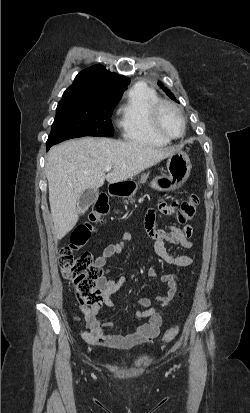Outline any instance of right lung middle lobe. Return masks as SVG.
I'll return each mask as SVG.
<instances>
[{
  "label": "right lung middle lobe",
  "instance_id": "right-lung-middle-lobe-1",
  "mask_svg": "<svg viewBox=\"0 0 250 413\" xmlns=\"http://www.w3.org/2000/svg\"><path fill=\"white\" fill-rule=\"evenodd\" d=\"M121 95L67 89L56 109L46 146L82 136L111 137V115Z\"/></svg>",
  "mask_w": 250,
  "mask_h": 413
}]
</instances>
